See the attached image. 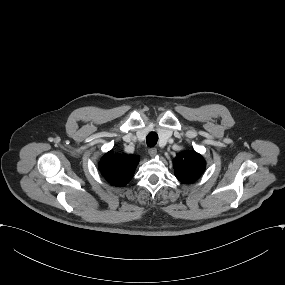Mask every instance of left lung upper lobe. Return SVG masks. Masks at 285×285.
I'll list each match as a JSON object with an SVG mask.
<instances>
[{"mask_svg": "<svg viewBox=\"0 0 285 285\" xmlns=\"http://www.w3.org/2000/svg\"><path fill=\"white\" fill-rule=\"evenodd\" d=\"M176 178L183 183H192L204 172L206 162L194 151H184L177 154L173 161Z\"/></svg>", "mask_w": 285, "mask_h": 285, "instance_id": "5c2ea615", "label": "left lung upper lobe"}]
</instances>
